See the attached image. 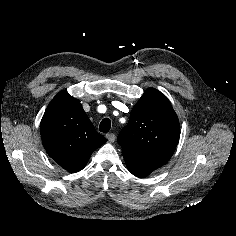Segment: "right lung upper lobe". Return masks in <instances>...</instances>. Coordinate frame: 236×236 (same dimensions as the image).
Masks as SVG:
<instances>
[{
  "mask_svg": "<svg viewBox=\"0 0 236 236\" xmlns=\"http://www.w3.org/2000/svg\"><path fill=\"white\" fill-rule=\"evenodd\" d=\"M40 133L48 155L71 173L83 169L94 150L106 142L80 102L66 91L59 92L47 106Z\"/></svg>",
  "mask_w": 236,
  "mask_h": 236,
  "instance_id": "cb5924a9",
  "label": "right lung upper lobe"
}]
</instances>
